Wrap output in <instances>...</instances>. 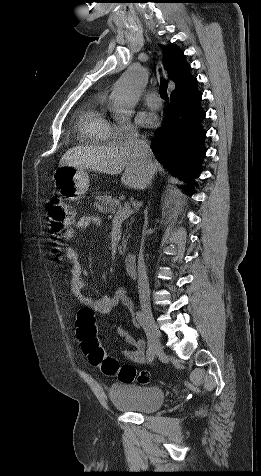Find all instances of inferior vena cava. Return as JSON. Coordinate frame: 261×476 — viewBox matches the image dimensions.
Returning a JSON list of instances; mask_svg holds the SVG:
<instances>
[{"mask_svg":"<svg viewBox=\"0 0 261 476\" xmlns=\"http://www.w3.org/2000/svg\"><path fill=\"white\" fill-rule=\"evenodd\" d=\"M124 147L132 152L133 156L141 162L148 173L154 171L152 153L147 140L140 139L138 133L132 132L127 136ZM138 292L141 306L149 309L150 289L147 269L144 263L143 249L140 250L138 259Z\"/></svg>","mask_w":261,"mask_h":476,"instance_id":"inferior-vena-cava-1","label":"inferior vena cava"}]
</instances>
